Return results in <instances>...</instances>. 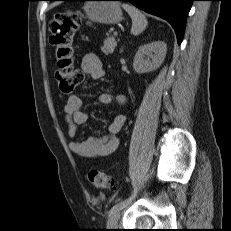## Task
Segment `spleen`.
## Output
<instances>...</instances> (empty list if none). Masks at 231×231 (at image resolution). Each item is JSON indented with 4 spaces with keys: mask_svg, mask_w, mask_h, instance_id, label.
<instances>
[{
    "mask_svg": "<svg viewBox=\"0 0 231 231\" xmlns=\"http://www.w3.org/2000/svg\"><path fill=\"white\" fill-rule=\"evenodd\" d=\"M122 7L132 19L131 33L135 36L142 33L148 25L147 19L144 14L140 10L129 4L124 3L122 4Z\"/></svg>",
    "mask_w": 231,
    "mask_h": 231,
    "instance_id": "spleen-1",
    "label": "spleen"
}]
</instances>
